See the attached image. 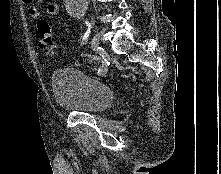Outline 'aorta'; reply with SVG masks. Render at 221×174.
I'll return each mask as SVG.
<instances>
[{
  "label": "aorta",
  "mask_w": 221,
  "mask_h": 174,
  "mask_svg": "<svg viewBox=\"0 0 221 174\" xmlns=\"http://www.w3.org/2000/svg\"><path fill=\"white\" fill-rule=\"evenodd\" d=\"M88 5V0H65L67 12L77 18L82 19Z\"/></svg>",
  "instance_id": "aorta-1"
}]
</instances>
